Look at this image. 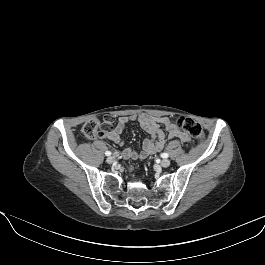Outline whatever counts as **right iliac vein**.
Listing matches in <instances>:
<instances>
[{
	"label": "right iliac vein",
	"mask_w": 265,
	"mask_h": 265,
	"mask_svg": "<svg viewBox=\"0 0 265 265\" xmlns=\"http://www.w3.org/2000/svg\"><path fill=\"white\" fill-rule=\"evenodd\" d=\"M106 161H107L108 164H112V163H114L115 158L113 156H110V157L107 158Z\"/></svg>",
	"instance_id": "obj_1"
}]
</instances>
